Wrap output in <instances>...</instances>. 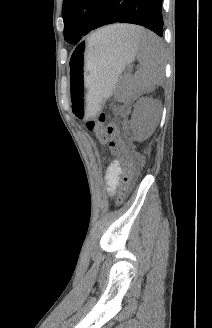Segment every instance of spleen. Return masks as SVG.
Instances as JSON below:
<instances>
[{
  "mask_svg": "<svg viewBox=\"0 0 212 328\" xmlns=\"http://www.w3.org/2000/svg\"><path fill=\"white\" fill-rule=\"evenodd\" d=\"M133 39L138 40L137 59L140 68L134 75V82L140 93L153 91L162 82L164 75V47L160 39L152 32L137 27ZM92 44H99L94 33L89 37Z\"/></svg>",
  "mask_w": 212,
  "mask_h": 328,
  "instance_id": "obj_1",
  "label": "spleen"
}]
</instances>
